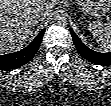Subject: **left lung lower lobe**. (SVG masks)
Instances as JSON below:
<instances>
[{
	"instance_id": "obj_1",
	"label": "left lung lower lobe",
	"mask_w": 111,
	"mask_h": 106,
	"mask_svg": "<svg viewBox=\"0 0 111 106\" xmlns=\"http://www.w3.org/2000/svg\"><path fill=\"white\" fill-rule=\"evenodd\" d=\"M71 36L79 53L88 61L99 65H111V53H100L85 46L72 29Z\"/></svg>"
}]
</instances>
